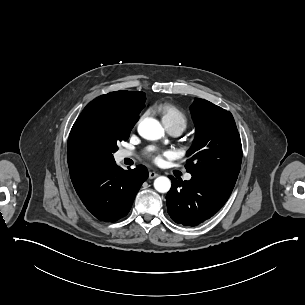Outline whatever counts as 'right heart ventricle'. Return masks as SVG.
I'll list each match as a JSON object with an SVG mask.
<instances>
[{"mask_svg":"<svg viewBox=\"0 0 305 305\" xmlns=\"http://www.w3.org/2000/svg\"><path fill=\"white\" fill-rule=\"evenodd\" d=\"M156 109L161 115L164 126L180 124L184 129L187 127L188 121L185 114L174 105L161 103L156 106Z\"/></svg>","mask_w":305,"mask_h":305,"instance_id":"e07e8e85","label":"right heart ventricle"}]
</instances>
